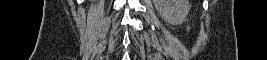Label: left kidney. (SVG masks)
Listing matches in <instances>:
<instances>
[{
	"mask_svg": "<svg viewBox=\"0 0 267 60\" xmlns=\"http://www.w3.org/2000/svg\"><path fill=\"white\" fill-rule=\"evenodd\" d=\"M155 9L170 25L182 24L190 11L188 0H153Z\"/></svg>",
	"mask_w": 267,
	"mask_h": 60,
	"instance_id": "5707ae66",
	"label": "left kidney"
}]
</instances>
